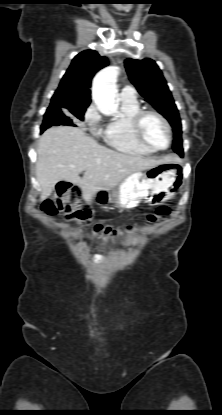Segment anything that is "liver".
<instances>
[{"label": "liver", "instance_id": "1", "mask_svg": "<svg viewBox=\"0 0 222 415\" xmlns=\"http://www.w3.org/2000/svg\"><path fill=\"white\" fill-rule=\"evenodd\" d=\"M171 161H178V157L120 153L99 145L79 128L51 127L38 142L36 177L42 189L40 200L48 198L55 185L65 180L79 186L83 199L90 203L98 190L109 191L135 172Z\"/></svg>", "mask_w": 222, "mask_h": 415}]
</instances>
